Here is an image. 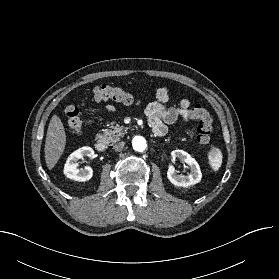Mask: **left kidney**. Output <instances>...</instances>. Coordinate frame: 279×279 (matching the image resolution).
Returning a JSON list of instances; mask_svg holds the SVG:
<instances>
[{
  "instance_id": "left-kidney-1",
  "label": "left kidney",
  "mask_w": 279,
  "mask_h": 279,
  "mask_svg": "<svg viewBox=\"0 0 279 279\" xmlns=\"http://www.w3.org/2000/svg\"><path fill=\"white\" fill-rule=\"evenodd\" d=\"M171 156L173 160L177 158L180 161L187 163L190 168V173L188 175H177L175 168L173 166H169L167 177L172 184L180 187H188L201 181L202 173L199 164L190 156V154L178 149L172 151Z\"/></svg>"
}]
</instances>
